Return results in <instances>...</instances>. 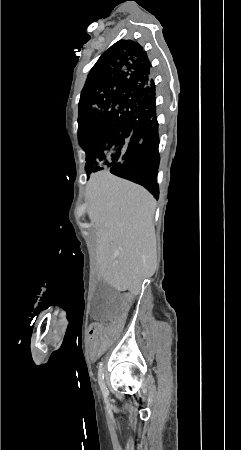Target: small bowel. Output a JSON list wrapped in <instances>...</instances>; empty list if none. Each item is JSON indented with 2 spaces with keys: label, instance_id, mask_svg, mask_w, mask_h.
Listing matches in <instances>:
<instances>
[{
  "label": "small bowel",
  "instance_id": "1",
  "mask_svg": "<svg viewBox=\"0 0 241 450\" xmlns=\"http://www.w3.org/2000/svg\"><path fill=\"white\" fill-rule=\"evenodd\" d=\"M121 307L123 308L122 310L125 312L130 307V302L128 300H123L121 302ZM120 315L123 317L125 314L122 312ZM92 326L93 327L89 328L87 332L89 335L95 336L98 333L97 327L99 326V323L97 321H94L92 323ZM115 327L110 328L109 330L110 336L106 338V341L110 344L115 343L116 341L115 335H117L118 333L117 329H122L124 327V322L122 320H117L115 322ZM91 344L93 345L90 351L92 358L99 357L101 351L103 350V347L95 346L96 343L94 341Z\"/></svg>",
  "mask_w": 241,
  "mask_h": 450
}]
</instances>
